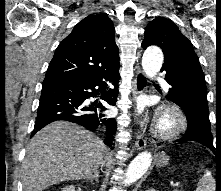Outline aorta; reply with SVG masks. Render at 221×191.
<instances>
[{"instance_id":"762f6f07","label":"aorta","mask_w":221,"mask_h":191,"mask_svg":"<svg viewBox=\"0 0 221 191\" xmlns=\"http://www.w3.org/2000/svg\"><path fill=\"white\" fill-rule=\"evenodd\" d=\"M163 53L160 48L151 46L147 48L142 57V68L146 76L153 78L160 71L163 64ZM152 162L150 152L138 154L129 164L123 184L130 185L140 179L148 170Z\"/></svg>"}]
</instances>
